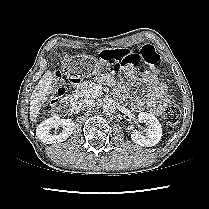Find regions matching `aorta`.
Returning a JSON list of instances; mask_svg holds the SVG:
<instances>
[{"instance_id": "obj_1", "label": "aorta", "mask_w": 209, "mask_h": 209, "mask_svg": "<svg viewBox=\"0 0 209 209\" xmlns=\"http://www.w3.org/2000/svg\"><path fill=\"white\" fill-rule=\"evenodd\" d=\"M102 112L106 116H110L114 113V107L110 104H104L102 106Z\"/></svg>"}]
</instances>
